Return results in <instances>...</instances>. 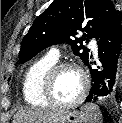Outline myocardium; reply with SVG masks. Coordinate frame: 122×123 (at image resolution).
<instances>
[{
	"instance_id": "1",
	"label": "myocardium",
	"mask_w": 122,
	"mask_h": 123,
	"mask_svg": "<svg viewBox=\"0 0 122 123\" xmlns=\"http://www.w3.org/2000/svg\"><path fill=\"white\" fill-rule=\"evenodd\" d=\"M64 69H74L77 71L82 79V87L79 94L71 101L60 102L54 98L53 85L57 74ZM89 88V79L85 71L75 63L62 62L53 65L45 75L42 87V93L44 99L49 105L61 108H69L79 104L86 96Z\"/></svg>"
}]
</instances>
